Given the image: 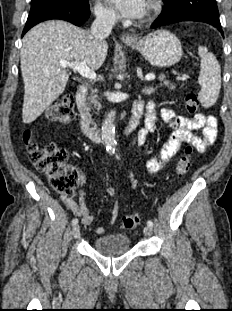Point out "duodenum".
I'll return each mask as SVG.
<instances>
[{"label":"duodenum","instance_id":"1","mask_svg":"<svg viewBox=\"0 0 232 311\" xmlns=\"http://www.w3.org/2000/svg\"><path fill=\"white\" fill-rule=\"evenodd\" d=\"M88 88L85 84L77 86L75 91V99L80 114V126L83 133L89 138L99 142L100 141V128L96 125L87 105L85 104V97ZM143 114V104L136 101L133 106V114L128 122L123 126L121 134L123 136L131 134L138 126Z\"/></svg>","mask_w":232,"mask_h":311}]
</instances>
